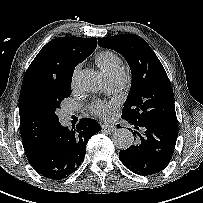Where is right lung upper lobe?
I'll list each match as a JSON object with an SVG mask.
<instances>
[{"label": "right lung upper lobe", "mask_w": 203, "mask_h": 203, "mask_svg": "<svg viewBox=\"0 0 203 203\" xmlns=\"http://www.w3.org/2000/svg\"><path fill=\"white\" fill-rule=\"evenodd\" d=\"M96 38L59 37L47 43L28 67L19 97L20 132L25 153L42 145L59 124L49 114L46 98L71 86L77 64L96 48Z\"/></svg>", "instance_id": "right-lung-upper-lobe-1"}]
</instances>
